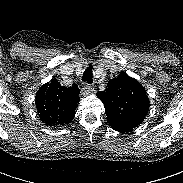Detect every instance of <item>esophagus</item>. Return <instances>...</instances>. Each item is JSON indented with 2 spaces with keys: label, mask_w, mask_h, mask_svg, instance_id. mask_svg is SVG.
Segmentation results:
<instances>
[{
  "label": "esophagus",
  "mask_w": 183,
  "mask_h": 183,
  "mask_svg": "<svg viewBox=\"0 0 183 183\" xmlns=\"http://www.w3.org/2000/svg\"><path fill=\"white\" fill-rule=\"evenodd\" d=\"M94 91V86L92 84H85L83 89H82V93L83 95H89Z\"/></svg>",
  "instance_id": "34e87169"
}]
</instances>
